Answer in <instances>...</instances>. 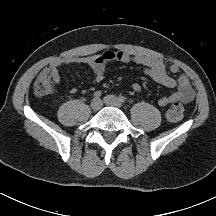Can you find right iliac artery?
Returning <instances> with one entry per match:
<instances>
[{
    "label": "right iliac artery",
    "mask_w": 216,
    "mask_h": 216,
    "mask_svg": "<svg viewBox=\"0 0 216 216\" xmlns=\"http://www.w3.org/2000/svg\"><path fill=\"white\" fill-rule=\"evenodd\" d=\"M101 95H102L101 91H96L93 96H94V99H99Z\"/></svg>",
    "instance_id": "right-iliac-artery-1"
}]
</instances>
